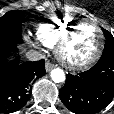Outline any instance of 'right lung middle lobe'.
<instances>
[{
  "instance_id": "obj_1",
  "label": "right lung middle lobe",
  "mask_w": 114,
  "mask_h": 114,
  "mask_svg": "<svg viewBox=\"0 0 114 114\" xmlns=\"http://www.w3.org/2000/svg\"><path fill=\"white\" fill-rule=\"evenodd\" d=\"M25 21L23 12H7L0 18V41L22 42L21 26Z\"/></svg>"
}]
</instances>
